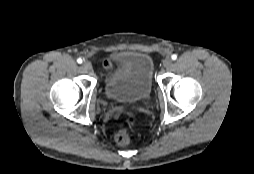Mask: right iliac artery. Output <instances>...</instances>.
Segmentation results:
<instances>
[{"label": "right iliac artery", "mask_w": 254, "mask_h": 174, "mask_svg": "<svg viewBox=\"0 0 254 174\" xmlns=\"http://www.w3.org/2000/svg\"><path fill=\"white\" fill-rule=\"evenodd\" d=\"M77 62H78L79 64H81V63H82V59H81V58H78V59H77Z\"/></svg>", "instance_id": "right-iliac-artery-1"}]
</instances>
